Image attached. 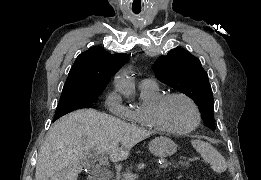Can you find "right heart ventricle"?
<instances>
[{
    "label": "right heart ventricle",
    "instance_id": "e07e8e85",
    "mask_svg": "<svg viewBox=\"0 0 261 180\" xmlns=\"http://www.w3.org/2000/svg\"><path fill=\"white\" fill-rule=\"evenodd\" d=\"M139 91H140V102H139V107L134 114L135 117L132 120V127H140L137 122L138 113L142 109L154 105L155 101L162 95V93L157 88V86H153V87H140L139 86ZM142 131H144V130L142 129Z\"/></svg>",
    "mask_w": 261,
    "mask_h": 180
}]
</instances>
